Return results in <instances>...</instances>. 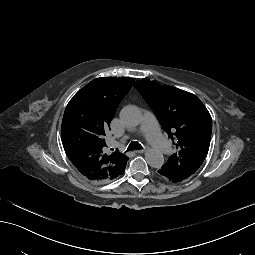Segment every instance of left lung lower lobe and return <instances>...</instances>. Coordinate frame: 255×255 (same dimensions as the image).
I'll list each match as a JSON object with an SVG mask.
<instances>
[{"label": "left lung lower lobe", "instance_id": "left-lung-lower-lobe-1", "mask_svg": "<svg viewBox=\"0 0 255 255\" xmlns=\"http://www.w3.org/2000/svg\"><path fill=\"white\" fill-rule=\"evenodd\" d=\"M157 173L162 179H166L167 181L173 182L175 180V177L173 175L165 172L162 168H159L157 170Z\"/></svg>", "mask_w": 255, "mask_h": 255}]
</instances>
